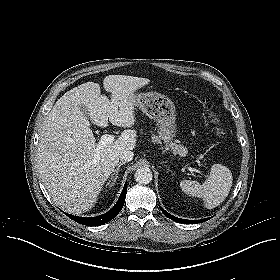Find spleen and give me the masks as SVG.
<instances>
[{
	"label": "spleen",
	"mask_w": 280,
	"mask_h": 280,
	"mask_svg": "<svg viewBox=\"0 0 280 280\" xmlns=\"http://www.w3.org/2000/svg\"><path fill=\"white\" fill-rule=\"evenodd\" d=\"M232 173L222 164H214L211 167L210 176L203 183L183 180L180 187L188 195L200 197L207 208H214L222 203L228 196L232 186Z\"/></svg>",
	"instance_id": "3e777b00"
}]
</instances>
